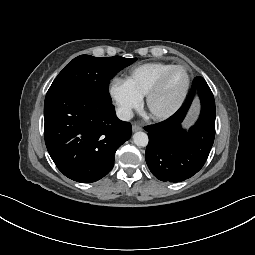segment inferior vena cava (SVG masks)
Instances as JSON below:
<instances>
[{"instance_id": "1", "label": "inferior vena cava", "mask_w": 255, "mask_h": 255, "mask_svg": "<svg viewBox=\"0 0 255 255\" xmlns=\"http://www.w3.org/2000/svg\"><path fill=\"white\" fill-rule=\"evenodd\" d=\"M116 115L122 121H129L133 117V112L127 108H118Z\"/></svg>"}]
</instances>
